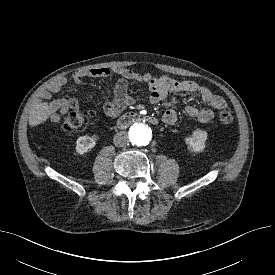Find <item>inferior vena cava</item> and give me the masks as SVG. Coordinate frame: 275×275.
<instances>
[{
    "label": "inferior vena cava",
    "instance_id": "1",
    "mask_svg": "<svg viewBox=\"0 0 275 275\" xmlns=\"http://www.w3.org/2000/svg\"><path fill=\"white\" fill-rule=\"evenodd\" d=\"M114 145L117 147H124L129 143V138L126 132H118L113 138Z\"/></svg>",
    "mask_w": 275,
    "mask_h": 275
}]
</instances>
